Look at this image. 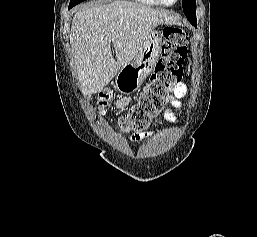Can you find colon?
<instances>
[{"instance_id": "5ec220e1", "label": "colon", "mask_w": 257, "mask_h": 237, "mask_svg": "<svg viewBox=\"0 0 257 237\" xmlns=\"http://www.w3.org/2000/svg\"><path fill=\"white\" fill-rule=\"evenodd\" d=\"M188 33L177 27L163 30L161 57L150 76L138 103L120 117L119 127L124 131H141L145 129L154 116L164 107L168 93L175 87L182 76V64L187 56ZM113 93L105 89L99 93L97 106L103 113L113 99Z\"/></svg>"}]
</instances>
